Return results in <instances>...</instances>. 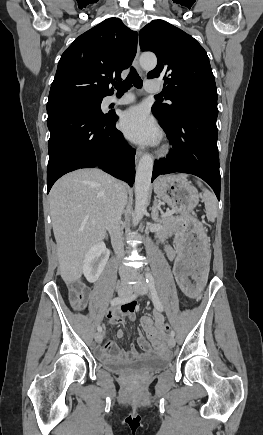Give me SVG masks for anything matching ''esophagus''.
<instances>
[{"instance_id": "obj_1", "label": "esophagus", "mask_w": 263, "mask_h": 435, "mask_svg": "<svg viewBox=\"0 0 263 435\" xmlns=\"http://www.w3.org/2000/svg\"><path fill=\"white\" fill-rule=\"evenodd\" d=\"M139 57H140V48H139V43H138L137 52H136V56L134 59V65L137 68V70L139 71L140 75L144 76L145 73L140 66ZM141 156H142V152L140 150H137L136 154H135L136 163L139 161Z\"/></svg>"}]
</instances>
